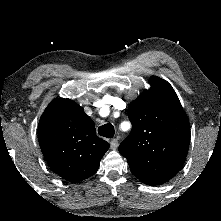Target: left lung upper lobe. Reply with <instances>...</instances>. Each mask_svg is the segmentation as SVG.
Returning a JSON list of instances; mask_svg holds the SVG:
<instances>
[{
	"instance_id": "5c2ea615",
	"label": "left lung upper lobe",
	"mask_w": 221,
	"mask_h": 221,
	"mask_svg": "<svg viewBox=\"0 0 221 221\" xmlns=\"http://www.w3.org/2000/svg\"><path fill=\"white\" fill-rule=\"evenodd\" d=\"M151 88L130 103L131 136L119 146L131 172L147 185L169 181L181 169L190 142L187 115L165 80L153 76Z\"/></svg>"
}]
</instances>
